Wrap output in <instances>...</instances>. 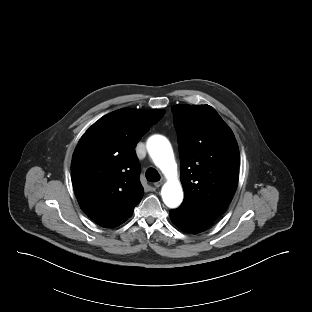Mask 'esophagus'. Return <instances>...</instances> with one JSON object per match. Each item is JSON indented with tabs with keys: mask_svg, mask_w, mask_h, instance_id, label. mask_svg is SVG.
Here are the masks:
<instances>
[{
	"mask_svg": "<svg viewBox=\"0 0 312 312\" xmlns=\"http://www.w3.org/2000/svg\"><path fill=\"white\" fill-rule=\"evenodd\" d=\"M163 183H164V180L161 179L160 181L155 182V183H154V186H155L156 188H159Z\"/></svg>",
	"mask_w": 312,
	"mask_h": 312,
	"instance_id": "obj_1",
	"label": "esophagus"
}]
</instances>
